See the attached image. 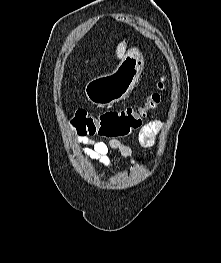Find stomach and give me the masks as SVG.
Returning a JSON list of instances; mask_svg holds the SVG:
<instances>
[{
    "label": "stomach",
    "instance_id": "obj_1",
    "mask_svg": "<svg viewBox=\"0 0 221 263\" xmlns=\"http://www.w3.org/2000/svg\"><path fill=\"white\" fill-rule=\"evenodd\" d=\"M144 68V59L137 49L128 51L116 70L89 81L85 94L97 106H108L124 99L134 88Z\"/></svg>",
    "mask_w": 221,
    "mask_h": 263
}]
</instances>
